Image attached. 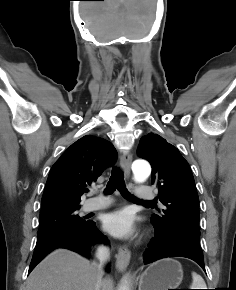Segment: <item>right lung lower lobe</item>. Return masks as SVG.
I'll use <instances>...</instances> for the list:
<instances>
[{
	"label": "right lung lower lobe",
	"instance_id": "98d812e1",
	"mask_svg": "<svg viewBox=\"0 0 236 290\" xmlns=\"http://www.w3.org/2000/svg\"><path fill=\"white\" fill-rule=\"evenodd\" d=\"M97 242H107L106 237L97 229L93 221L84 226L60 229L40 235L33 253L29 273L53 249L67 248L86 257L89 246ZM109 268H107L108 270Z\"/></svg>",
	"mask_w": 236,
	"mask_h": 290
}]
</instances>
